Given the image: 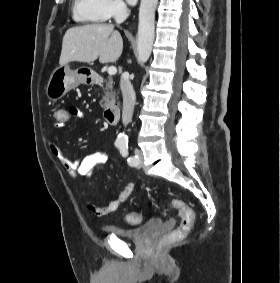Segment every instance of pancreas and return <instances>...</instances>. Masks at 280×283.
<instances>
[{
	"label": "pancreas",
	"mask_w": 280,
	"mask_h": 283,
	"mask_svg": "<svg viewBox=\"0 0 280 283\" xmlns=\"http://www.w3.org/2000/svg\"><path fill=\"white\" fill-rule=\"evenodd\" d=\"M114 101H115V95H114V92H113V81H112V79H109L106 83V88L104 89L102 107L106 108L110 104H113Z\"/></svg>",
	"instance_id": "1"
}]
</instances>
